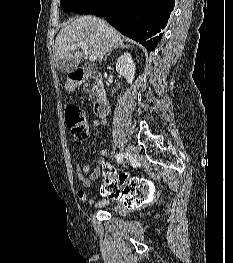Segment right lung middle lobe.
<instances>
[{
	"label": "right lung middle lobe",
	"instance_id": "right-lung-middle-lobe-1",
	"mask_svg": "<svg viewBox=\"0 0 233 263\" xmlns=\"http://www.w3.org/2000/svg\"><path fill=\"white\" fill-rule=\"evenodd\" d=\"M102 0H60V6L65 12L73 11L89 14Z\"/></svg>",
	"mask_w": 233,
	"mask_h": 263
}]
</instances>
